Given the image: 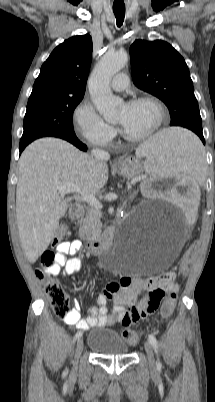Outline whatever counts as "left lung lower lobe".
Returning <instances> with one entry per match:
<instances>
[{
    "label": "left lung lower lobe",
    "instance_id": "left-lung-lower-lobe-1",
    "mask_svg": "<svg viewBox=\"0 0 215 402\" xmlns=\"http://www.w3.org/2000/svg\"><path fill=\"white\" fill-rule=\"evenodd\" d=\"M198 136L200 137V139L202 140V142H203V143H205V140H204L203 134H199Z\"/></svg>",
    "mask_w": 215,
    "mask_h": 402
}]
</instances>
